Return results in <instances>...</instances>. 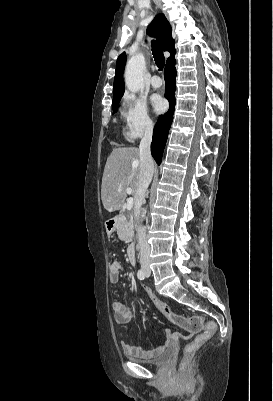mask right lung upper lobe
Wrapping results in <instances>:
<instances>
[{"instance_id": "1", "label": "right lung upper lobe", "mask_w": 273, "mask_h": 401, "mask_svg": "<svg viewBox=\"0 0 273 401\" xmlns=\"http://www.w3.org/2000/svg\"><path fill=\"white\" fill-rule=\"evenodd\" d=\"M147 34L157 37L164 51H169L171 56L168 58L167 63L174 60L175 47L172 38V28L167 21L164 14H159L149 25ZM126 63V54L123 52L117 59L116 72L113 86V107H117L119 101L124 93L123 71Z\"/></svg>"}]
</instances>
